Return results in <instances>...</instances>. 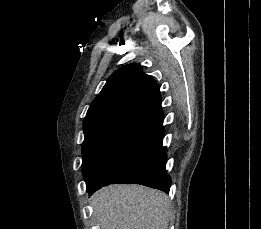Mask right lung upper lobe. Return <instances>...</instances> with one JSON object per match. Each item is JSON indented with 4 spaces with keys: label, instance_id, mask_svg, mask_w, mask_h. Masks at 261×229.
<instances>
[{
    "label": "right lung upper lobe",
    "instance_id": "cb5924a9",
    "mask_svg": "<svg viewBox=\"0 0 261 229\" xmlns=\"http://www.w3.org/2000/svg\"><path fill=\"white\" fill-rule=\"evenodd\" d=\"M158 84L135 63L114 72L84 119L83 146L130 148L138 130L157 131L163 123Z\"/></svg>",
    "mask_w": 261,
    "mask_h": 229
}]
</instances>
